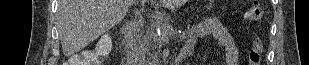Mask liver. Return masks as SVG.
<instances>
[{
	"instance_id": "obj_1",
	"label": "liver",
	"mask_w": 309,
	"mask_h": 65,
	"mask_svg": "<svg viewBox=\"0 0 309 65\" xmlns=\"http://www.w3.org/2000/svg\"><path fill=\"white\" fill-rule=\"evenodd\" d=\"M135 0H59L58 33L65 56L73 55L113 26L127 14ZM175 9L186 0H151L155 9Z\"/></svg>"
}]
</instances>
